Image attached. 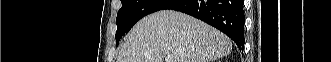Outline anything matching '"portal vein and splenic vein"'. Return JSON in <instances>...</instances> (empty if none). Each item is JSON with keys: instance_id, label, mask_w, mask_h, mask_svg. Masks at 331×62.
Listing matches in <instances>:
<instances>
[{"instance_id": "portal-vein-and-splenic-vein-1", "label": "portal vein and splenic vein", "mask_w": 331, "mask_h": 62, "mask_svg": "<svg viewBox=\"0 0 331 62\" xmlns=\"http://www.w3.org/2000/svg\"><path fill=\"white\" fill-rule=\"evenodd\" d=\"M166 61L167 62H173L174 61V56L168 55L167 58H166Z\"/></svg>"}]
</instances>
